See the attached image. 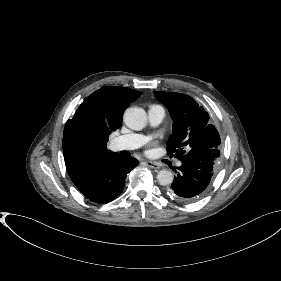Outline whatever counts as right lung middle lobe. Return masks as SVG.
Wrapping results in <instances>:
<instances>
[{"instance_id":"1","label":"right lung middle lobe","mask_w":281,"mask_h":281,"mask_svg":"<svg viewBox=\"0 0 281 281\" xmlns=\"http://www.w3.org/2000/svg\"><path fill=\"white\" fill-rule=\"evenodd\" d=\"M75 140L80 145H85L88 143V137L81 131L76 132Z\"/></svg>"}]
</instances>
